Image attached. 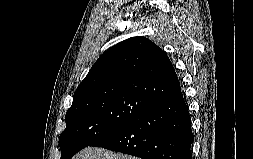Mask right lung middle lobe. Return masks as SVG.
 <instances>
[{
	"label": "right lung middle lobe",
	"mask_w": 253,
	"mask_h": 159,
	"mask_svg": "<svg viewBox=\"0 0 253 159\" xmlns=\"http://www.w3.org/2000/svg\"><path fill=\"white\" fill-rule=\"evenodd\" d=\"M153 102L129 94H116L73 101L66 113V129L59 137L61 159L116 131Z\"/></svg>",
	"instance_id": "obj_1"
}]
</instances>
